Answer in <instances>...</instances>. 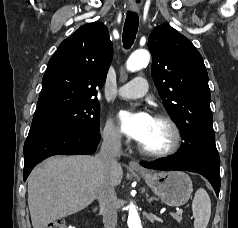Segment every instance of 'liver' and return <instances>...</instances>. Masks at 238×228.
<instances>
[{
    "mask_svg": "<svg viewBox=\"0 0 238 228\" xmlns=\"http://www.w3.org/2000/svg\"><path fill=\"white\" fill-rule=\"evenodd\" d=\"M122 177L118 163L110 173L114 187ZM101 178L96 156H55L39 164L27 180L33 228H45L86 208L95 200Z\"/></svg>",
    "mask_w": 238,
    "mask_h": 228,
    "instance_id": "1",
    "label": "liver"
}]
</instances>
